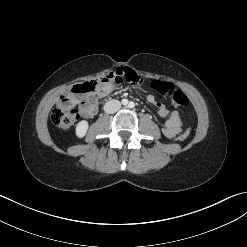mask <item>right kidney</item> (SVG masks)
I'll use <instances>...</instances> for the list:
<instances>
[{"instance_id":"right-kidney-1","label":"right kidney","mask_w":247,"mask_h":247,"mask_svg":"<svg viewBox=\"0 0 247 247\" xmlns=\"http://www.w3.org/2000/svg\"><path fill=\"white\" fill-rule=\"evenodd\" d=\"M88 127L89 125L86 120L80 121L76 126V130H75L76 136L78 138H83L87 133Z\"/></svg>"}]
</instances>
